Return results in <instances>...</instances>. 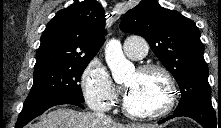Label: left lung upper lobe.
<instances>
[{"instance_id":"left-lung-upper-lobe-1","label":"left lung upper lobe","mask_w":221,"mask_h":128,"mask_svg":"<svg viewBox=\"0 0 221 128\" xmlns=\"http://www.w3.org/2000/svg\"><path fill=\"white\" fill-rule=\"evenodd\" d=\"M120 28L144 37L176 79L181 99L175 112L200 106L213 108L204 46L195 23L179 12L142 0L124 15Z\"/></svg>"}]
</instances>
